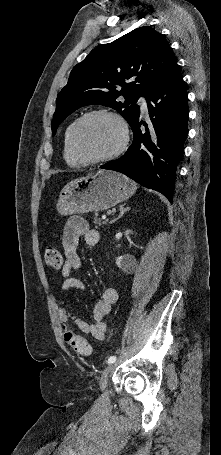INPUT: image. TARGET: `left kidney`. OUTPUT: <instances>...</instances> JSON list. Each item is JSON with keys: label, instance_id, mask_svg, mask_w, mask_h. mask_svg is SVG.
<instances>
[{"label": "left kidney", "instance_id": "5707ae66", "mask_svg": "<svg viewBox=\"0 0 221 455\" xmlns=\"http://www.w3.org/2000/svg\"><path fill=\"white\" fill-rule=\"evenodd\" d=\"M134 257L130 254H126V255H123V256H120V257H117L116 258V265L119 267V268H128L132 265V263L134 262Z\"/></svg>", "mask_w": 221, "mask_h": 455}]
</instances>
